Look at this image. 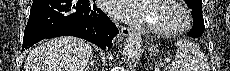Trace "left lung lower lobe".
I'll use <instances>...</instances> for the list:
<instances>
[{
	"label": "left lung lower lobe",
	"instance_id": "left-lung-lower-lobe-1",
	"mask_svg": "<svg viewBox=\"0 0 230 71\" xmlns=\"http://www.w3.org/2000/svg\"><path fill=\"white\" fill-rule=\"evenodd\" d=\"M194 24L192 30L188 33V36L199 37L202 35L205 26L202 13L192 12Z\"/></svg>",
	"mask_w": 230,
	"mask_h": 71
}]
</instances>
